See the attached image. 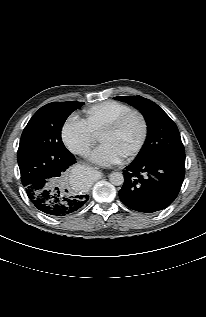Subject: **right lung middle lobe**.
Here are the masks:
<instances>
[{
	"label": "right lung middle lobe",
	"instance_id": "obj_1",
	"mask_svg": "<svg viewBox=\"0 0 206 317\" xmlns=\"http://www.w3.org/2000/svg\"><path fill=\"white\" fill-rule=\"evenodd\" d=\"M83 104L73 101L49 103L30 119L17 152L23 185L50 172L54 174L55 184L64 183L68 171L57 172L55 167L59 159L70 154L61 140V130L67 117Z\"/></svg>",
	"mask_w": 206,
	"mask_h": 317
}]
</instances>
